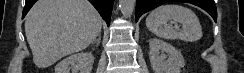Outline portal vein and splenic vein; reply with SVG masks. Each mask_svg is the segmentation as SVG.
<instances>
[{
    "label": "portal vein and splenic vein",
    "instance_id": "obj_1",
    "mask_svg": "<svg viewBox=\"0 0 244 73\" xmlns=\"http://www.w3.org/2000/svg\"><path fill=\"white\" fill-rule=\"evenodd\" d=\"M176 30H179V27L178 26H176Z\"/></svg>",
    "mask_w": 244,
    "mask_h": 73
}]
</instances>
